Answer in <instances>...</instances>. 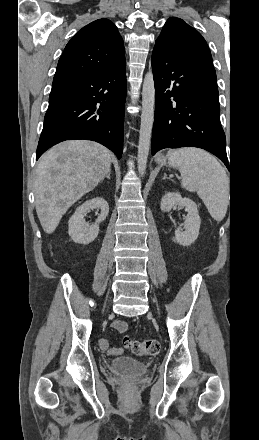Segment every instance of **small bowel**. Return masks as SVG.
Wrapping results in <instances>:
<instances>
[{
    "instance_id": "small-bowel-1",
    "label": "small bowel",
    "mask_w": 259,
    "mask_h": 440,
    "mask_svg": "<svg viewBox=\"0 0 259 440\" xmlns=\"http://www.w3.org/2000/svg\"><path fill=\"white\" fill-rule=\"evenodd\" d=\"M112 326H113V328H115L118 332H121V333L127 331V330H128V327H129L128 323L125 322V321H122V320H115V321L112 323ZM100 347H101L103 350H106V351H108V352L111 353V354H118V353H121V352H122V348L111 347V346H110V341H109L108 339H102V340L100 341Z\"/></svg>"
}]
</instances>
